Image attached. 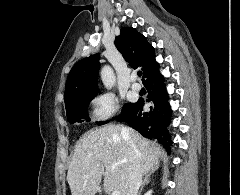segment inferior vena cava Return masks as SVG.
Segmentation results:
<instances>
[{"label": "inferior vena cava", "instance_id": "1", "mask_svg": "<svg viewBox=\"0 0 240 195\" xmlns=\"http://www.w3.org/2000/svg\"><path fill=\"white\" fill-rule=\"evenodd\" d=\"M122 135H129L128 129H121ZM130 177L128 179V191L127 195H138V189L142 183V169L141 163L138 159L137 147H135L133 141H130Z\"/></svg>", "mask_w": 240, "mask_h": 195}]
</instances>
